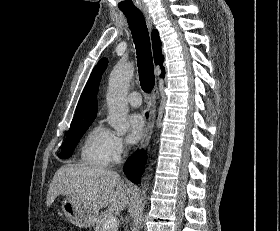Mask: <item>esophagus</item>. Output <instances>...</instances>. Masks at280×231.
I'll return each instance as SVG.
<instances>
[{
	"instance_id": "1",
	"label": "esophagus",
	"mask_w": 280,
	"mask_h": 231,
	"mask_svg": "<svg viewBox=\"0 0 280 231\" xmlns=\"http://www.w3.org/2000/svg\"><path fill=\"white\" fill-rule=\"evenodd\" d=\"M139 9L143 13L146 23H147L149 29L151 30L153 28V21H152L150 13L148 11V8L146 6H140ZM157 94H158V87L155 86L152 91V94H151L149 117H148L147 127L145 130L143 139L139 145L140 149L145 148L149 144V141H150V138H151V135L153 132L154 121H155V100H156Z\"/></svg>"
}]
</instances>
